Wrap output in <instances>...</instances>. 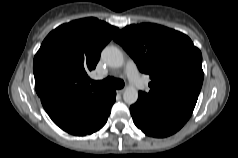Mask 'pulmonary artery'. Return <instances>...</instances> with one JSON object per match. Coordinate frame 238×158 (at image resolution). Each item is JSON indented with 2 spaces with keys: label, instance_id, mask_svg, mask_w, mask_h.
<instances>
[{
  "label": "pulmonary artery",
  "instance_id": "obj_1",
  "mask_svg": "<svg viewBox=\"0 0 238 158\" xmlns=\"http://www.w3.org/2000/svg\"><path fill=\"white\" fill-rule=\"evenodd\" d=\"M124 71L132 84L141 85V78L136 64L132 60H128L125 64Z\"/></svg>",
  "mask_w": 238,
  "mask_h": 158
}]
</instances>
